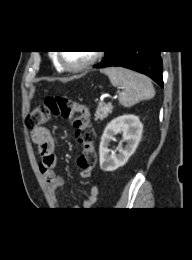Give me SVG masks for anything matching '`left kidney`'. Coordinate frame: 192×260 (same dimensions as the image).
<instances>
[{
	"mask_svg": "<svg viewBox=\"0 0 192 260\" xmlns=\"http://www.w3.org/2000/svg\"><path fill=\"white\" fill-rule=\"evenodd\" d=\"M143 131V124L138 116L123 115L113 119L106 126L101 137L99 156L100 167L103 171L111 172L126 164L130 156L135 152ZM123 134V140L127 142L125 148L119 147V154L112 152L108 146L114 135Z\"/></svg>",
	"mask_w": 192,
	"mask_h": 260,
	"instance_id": "obj_1",
	"label": "left kidney"
}]
</instances>
